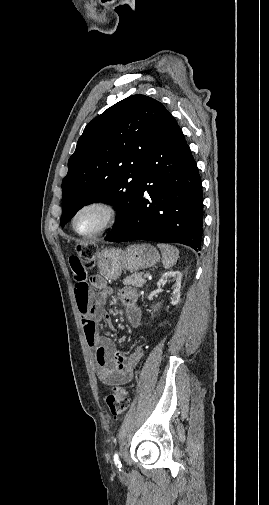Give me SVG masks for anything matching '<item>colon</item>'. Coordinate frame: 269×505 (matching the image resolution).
<instances>
[{
  "label": "colon",
  "mask_w": 269,
  "mask_h": 505,
  "mask_svg": "<svg viewBox=\"0 0 269 505\" xmlns=\"http://www.w3.org/2000/svg\"><path fill=\"white\" fill-rule=\"evenodd\" d=\"M96 252L97 248L95 245L80 244L77 247V254L70 257V259H80L82 261V268H85L87 271L93 266ZM106 404L111 415L114 418L119 417L129 406V396L127 391L118 386L113 387L111 393H109L106 397Z\"/></svg>",
  "instance_id": "obj_1"
}]
</instances>
